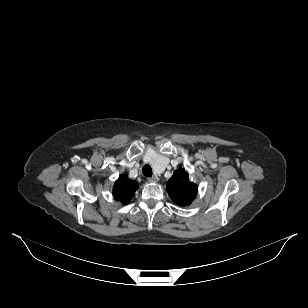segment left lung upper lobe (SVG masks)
Listing matches in <instances>:
<instances>
[{"mask_svg": "<svg viewBox=\"0 0 308 308\" xmlns=\"http://www.w3.org/2000/svg\"><path fill=\"white\" fill-rule=\"evenodd\" d=\"M171 199L179 206L191 204L197 194V186L189 181L188 173L179 168L167 182Z\"/></svg>", "mask_w": 308, "mask_h": 308, "instance_id": "1", "label": "left lung upper lobe"}]
</instances>
